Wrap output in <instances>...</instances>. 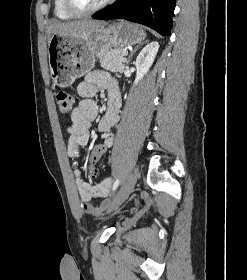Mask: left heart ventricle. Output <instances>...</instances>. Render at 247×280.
I'll return each instance as SVG.
<instances>
[{
  "label": "left heart ventricle",
  "instance_id": "obj_1",
  "mask_svg": "<svg viewBox=\"0 0 247 280\" xmlns=\"http://www.w3.org/2000/svg\"><path fill=\"white\" fill-rule=\"evenodd\" d=\"M103 0H74L75 4L80 8H92L100 4Z\"/></svg>",
  "mask_w": 247,
  "mask_h": 280
}]
</instances>
